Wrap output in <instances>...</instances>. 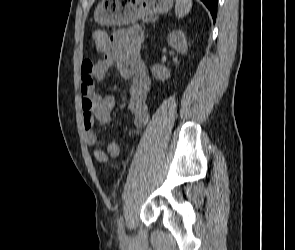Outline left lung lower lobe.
Listing matches in <instances>:
<instances>
[{
    "mask_svg": "<svg viewBox=\"0 0 295 250\" xmlns=\"http://www.w3.org/2000/svg\"><path fill=\"white\" fill-rule=\"evenodd\" d=\"M210 10L213 20H216L218 0H201Z\"/></svg>",
    "mask_w": 295,
    "mask_h": 250,
    "instance_id": "0a47b994",
    "label": "left lung lower lobe"
}]
</instances>
